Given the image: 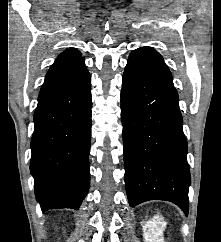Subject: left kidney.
Wrapping results in <instances>:
<instances>
[{
	"instance_id": "1",
	"label": "left kidney",
	"mask_w": 221,
	"mask_h": 242,
	"mask_svg": "<svg viewBox=\"0 0 221 242\" xmlns=\"http://www.w3.org/2000/svg\"><path fill=\"white\" fill-rule=\"evenodd\" d=\"M166 222L161 215H155L143 226V238L145 242H164L163 232Z\"/></svg>"
}]
</instances>
